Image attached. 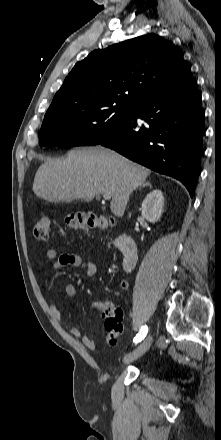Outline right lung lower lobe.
<instances>
[{
	"mask_svg": "<svg viewBox=\"0 0 221 440\" xmlns=\"http://www.w3.org/2000/svg\"><path fill=\"white\" fill-rule=\"evenodd\" d=\"M203 135L201 95L191 80L137 104L128 120L100 145L178 179L192 197L201 169Z\"/></svg>",
	"mask_w": 221,
	"mask_h": 440,
	"instance_id": "obj_1",
	"label": "right lung lower lobe"
}]
</instances>
